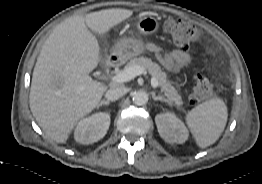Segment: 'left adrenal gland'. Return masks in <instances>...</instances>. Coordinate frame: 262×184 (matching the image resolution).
Returning <instances> with one entry per match:
<instances>
[{
    "label": "left adrenal gland",
    "mask_w": 262,
    "mask_h": 184,
    "mask_svg": "<svg viewBox=\"0 0 262 184\" xmlns=\"http://www.w3.org/2000/svg\"><path fill=\"white\" fill-rule=\"evenodd\" d=\"M152 98L154 101H162V102H167L168 104H171L169 100H167L166 98L160 95L156 96L155 93H152Z\"/></svg>",
    "instance_id": "obj_1"
}]
</instances>
